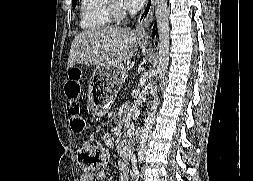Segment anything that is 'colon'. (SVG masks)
Instances as JSON below:
<instances>
[{
	"instance_id": "5ec220e1",
	"label": "colon",
	"mask_w": 253,
	"mask_h": 181,
	"mask_svg": "<svg viewBox=\"0 0 253 181\" xmlns=\"http://www.w3.org/2000/svg\"><path fill=\"white\" fill-rule=\"evenodd\" d=\"M65 93L68 98V111L71 115V127L75 132H82L86 122L80 117L79 99L82 96V85L80 83V72L77 69L69 71L65 84ZM80 164L89 173L100 171L107 161L105 149L97 143H86L79 151Z\"/></svg>"
}]
</instances>
